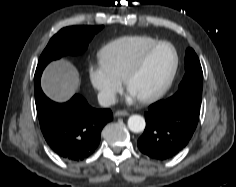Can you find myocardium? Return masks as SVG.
Instances as JSON below:
<instances>
[{
    "instance_id": "myocardium-1",
    "label": "myocardium",
    "mask_w": 236,
    "mask_h": 187,
    "mask_svg": "<svg viewBox=\"0 0 236 187\" xmlns=\"http://www.w3.org/2000/svg\"><path fill=\"white\" fill-rule=\"evenodd\" d=\"M161 46H168L172 49L173 54H174L173 66H172V69H171L166 81L164 82V84L157 91H155L152 94L146 95V96L138 97V100L142 103H151V102L157 101L163 95L166 94V92L170 89L171 85L173 84V81L176 77L178 67H179V54H178L177 49L175 48V46L172 43L168 42V41H158V42L150 45L149 47H147L139 55V57L134 62V64L129 69V71L127 72V74L124 78L125 87L127 89H129V85H130L131 81L141 71V69L143 68L146 60L150 56V54L154 50H156L157 48H159Z\"/></svg>"
}]
</instances>
